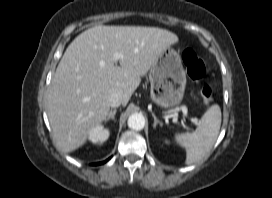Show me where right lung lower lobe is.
Segmentation results:
<instances>
[{
  "label": "right lung lower lobe",
  "instance_id": "right-lung-lower-lobe-1",
  "mask_svg": "<svg viewBox=\"0 0 272 198\" xmlns=\"http://www.w3.org/2000/svg\"><path fill=\"white\" fill-rule=\"evenodd\" d=\"M105 162H106V161H105ZM105 162H101V163H96L95 165L103 164V163H105Z\"/></svg>",
  "mask_w": 272,
  "mask_h": 198
}]
</instances>
